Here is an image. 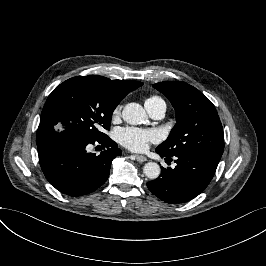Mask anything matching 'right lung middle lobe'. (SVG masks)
<instances>
[{
    "instance_id": "right-lung-middle-lobe-1",
    "label": "right lung middle lobe",
    "mask_w": 266,
    "mask_h": 266,
    "mask_svg": "<svg viewBox=\"0 0 266 266\" xmlns=\"http://www.w3.org/2000/svg\"><path fill=\"white\" fill-rule=\"evenodd\" d=\"M131 91L103 76H77L57 86L49 95L40 117L37 146L58 137L89 141L102 139L110 129L112 113Z\"/></svg>"
}]
</instances>
